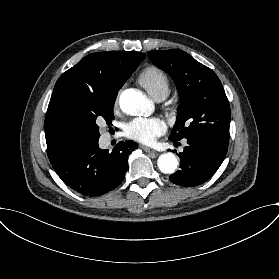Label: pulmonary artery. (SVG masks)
I'll list each match as a JSON object with an SVG mask.
<instances>
[{
    "instance_id": "obj_1",
    "label": "pulmonary artery",
    "mask_w": 279,
    "mask_h": 279,
    "mask_svg": "<svg viewBox=\"0 0 279 279\" xmlns=\"http://www.w3.org/2000/svg\"><path fill=\"white\" fill-rule=\"evenodd\" d=\"M167 95H168L167 91H161V92L157 93L153 98L156 101H162L167 97Z\"/></svg>"
}]
</instances>
